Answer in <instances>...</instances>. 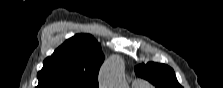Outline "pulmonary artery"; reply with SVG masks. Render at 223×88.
I'll list each match as a JSON object with an SVG mask.
<instances>
[{"label": "pulmonary artery", "instance_id": "obj_1", "mask_svg": "<svg viewBox=\"0 0 223 88\" xmlns=\"http://www.w3.org/2000/svg\"><path fill=\"white\" fill-rule=\"evenodd\" d=\"M133 87L138 88V87H146V83L140 79H136L133 81Z\"/></svg>", "mask_w": 223, "mask_h": 88}]
</instances>
